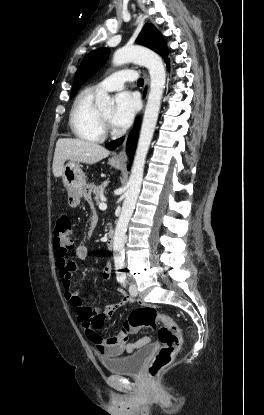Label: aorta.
<instances>
[{
    "instance_id": "1",
    "label": "aorta",
    "mask_w": 264,
    "mask_h": 415,
    "mask_svg": "<svg viewBox=\"0 0 264 415\" xmlns=\"http://www.w3.org/2000/svg\"><path fill=\"white\" fill-rule=\"evenodd\" d=\"M112 62L115 66L128 62L141 64L148 69L150 75V92L138 146L113 239L114 264L116 268H122L124 266L125 234L140 192L146 156L156 127L165 88L166 73L162 59L155 52L141 46H126L116 50ZM96 103L101 109H111L114 105V101L106 93L99 95Z\"/></svg>"
}]
</instances>
